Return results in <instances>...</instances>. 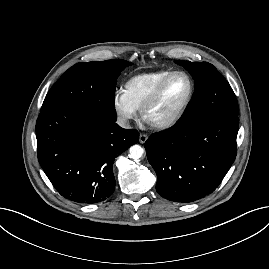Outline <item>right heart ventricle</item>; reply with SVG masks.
I'll use <instances>...</instances> for the list:
<instances>
[{"label":"right heart ventricle","mask_w":269,"mask_h":269,"mask_svg":"<svg viewBox=\"0 0 269 269\" xmlns=\"http://www.w3.org/2000/svg\"><path fill=\"white\" fill-rule=\"evenodd\" d=\"M171 72L170 70H160L143 73L127 80L124 84L123 92L135 110L142 108L157 85Z\"/></svg>","instance_id":"1"}]
</instances>
